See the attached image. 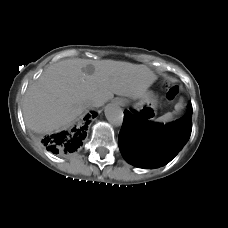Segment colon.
I'll return each instance as SVG.
<instances>
[{"instance_id": "obj_1", "label": "colon", "mask_w": 228, "mask_h": 228, "mask_svg": "<svg viewBox=\"0 0 228 228\" xmlns=\"http://www.w3.org/2000/svg\"><path fill=\"white\" fill-rule=\"evenodd\" d=\"M179 93L178 87L177 86H171L168 90H167V99L172 101L174 100L177 95Z\"/></svg>"}]
</instances>
